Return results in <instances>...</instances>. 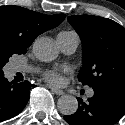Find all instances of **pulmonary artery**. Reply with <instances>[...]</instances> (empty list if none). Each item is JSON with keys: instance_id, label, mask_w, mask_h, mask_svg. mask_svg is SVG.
<instances>
[{"instance_id": "1", "label": "pulmonary artery", "mask_w": 125, "mask_h": 125, "mask_svg": "<svg viewBox=\"0 0 125 125\" xmlns=\"http://www.w3.org/2000/svg\"><path fill=\"white\" fill-rule=\"evenodd\" d=\"M57 42L63 52L72 54L76 51L79 45V36L75 32H60L57 35ZM13 68L16 72L32 71V68L20 64H15ZM88 96H93L92 90L88 91Z\"/></svg>"}]
</instances>
